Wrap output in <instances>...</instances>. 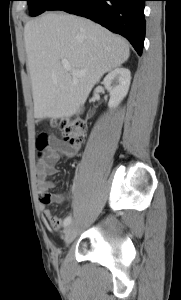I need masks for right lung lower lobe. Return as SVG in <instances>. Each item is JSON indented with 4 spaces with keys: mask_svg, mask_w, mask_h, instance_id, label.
Masks as SVG:
<instances>
[{
    "mask_svg": "<svg viewBox=\"0 0 181 300\" xmlns=\"http://www.w3.org/2000/svg\"><path fill=\"white\" fill-rule=\"evenodd\" d=\"M145 1L59 0L52 10H63L101 24L124 36L141 55L145 38Z\"/></svg>",
    "mask_w": 181,
    "mask_h": 300,
    "instance_id": "obj_1",
    "label": "right lung lower lobe"
}]
</instances>
